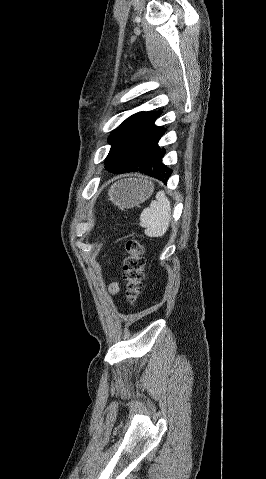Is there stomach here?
<instances>
[{"instance_id": "1", "label": "stomach", "mask_w": 266, "mask_h": 479, "mask_svg": "<svg viewBox=\"0 0 266 479\" xmlns=\"http://www.w3.org/2000/svg\"><path fill=\"white\" fill-rule=\"evenodd\" d=\"M153 190V184L147 178H129L113 184L109 197L120 208H132L148 199Z\"/></svg>"}]
</instances>
